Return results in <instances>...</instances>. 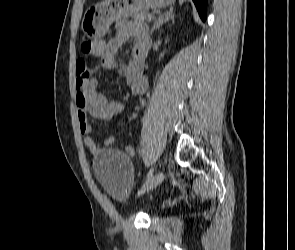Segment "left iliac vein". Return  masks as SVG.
Instances as JSON below:
<instances>
[{"mask_svg": "<svg viewBox=\"0 0 295 250\" xmlns=\"http://www.w3.org/2000/svg\"><path fill=\"white\" fill-rule=\"evenodd\" d=\"M165 178V174L163 171H159L154 178H152L149 185L144 189V191L141 193V195L145 193L151 192L153 189H155Z\"/></svg>", "mask_w": 295, "mask_h": 250, "instance_id": "left-iliac-vein-1", "label": "left iliac vein"}]
</instances>
